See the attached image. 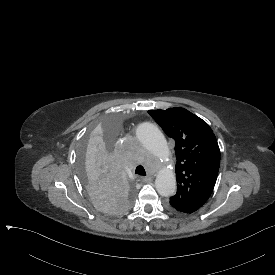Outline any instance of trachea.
Wrapping results in <instances>:
<instances>
[{
  "instance_id": "3493384b",
  "label": "trachea",
  "mask_w": 275,
  "mask_h": 275,
  "mask_svg": "<svg viewBox=\"0 0 275 275\" xmlns=\"http://www.w3.org/2000/svg\"><path fill=\"white\" fill-rule=\"evenodd\" d=\"M135 173L138 175H143V176L146 175L145 169L141 165L136 167Z\"/></svg>"
}]
</instances>
